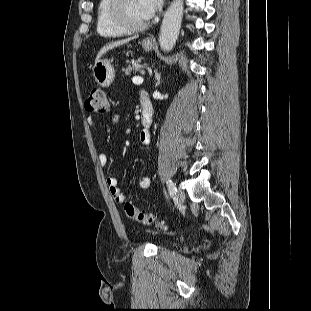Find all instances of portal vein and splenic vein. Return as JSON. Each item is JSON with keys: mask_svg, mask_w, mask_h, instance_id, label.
Instances as JSON below:
<instances>
[{"mask_svg": "<svg viewBox=\"0 0 311 311\" xmlns=\"http://www.w3.org/2000/svg\"><path fill=\"white\" fill-rule=\"evenodd\" d=\"M143 81H144V79H143L142 77H140V76H135V77H133V79H132V82H133L134 84H136V85L142 84Z\"/></svg>", "mask_w": 311, "mask_h": 311, "instance_id": "obj_1", "label": "portal vein and splenic vein"}]
</instances>
